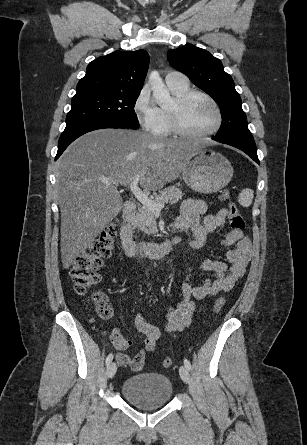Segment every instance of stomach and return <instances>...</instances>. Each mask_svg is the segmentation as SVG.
Listing matches in <instances>:
<instances>
[{"instance_id":"obj_1","label":"stomach","mask_w":307,"mask_h":445,"mask_svg":"<svg viewBox=\"0 0 307 445\" xmlns=\"http://www.w3.org/2000/svg\"><path fill=\"white\" fill-rule=\"evenodd\" d=\"M233 176V166L223 154L210 148H197L182 170V178L195 192L212 194L224 188Z\"/></svg>"}]
</instances>
